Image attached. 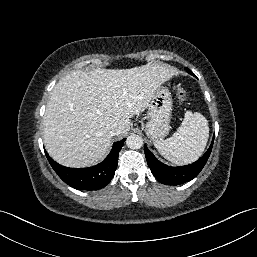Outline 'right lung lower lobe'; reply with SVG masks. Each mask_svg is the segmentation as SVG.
<instances>
[{
    "instance_id": "right-lung-lower-lobe-1",
    "label": "right lung lower lobe",
    "mask_w": 257,
    "mask_h": 257,
    "mask_svg": "<svg viewBox=\"0 0 257 257\" xmlns=\"http://www.w3.org/2000/svg\"><path fill=\"white\" fill-rule=\"evenodd\" d=\"M125 139L115 142L104 161L89 168H68L56 163L46 153L47 159L57 175L69 186L79 190H98L113 178L118 164V154Z\"/></svg>"
}]
</instances>
